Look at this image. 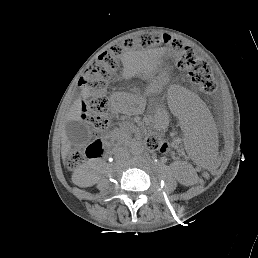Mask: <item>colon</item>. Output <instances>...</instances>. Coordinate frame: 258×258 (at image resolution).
<instances>
[{"label": "colon", "instance_id": "colon-1", "mask_svg": "<svg viewBox=\"0 0 258 258\" xmlns=\"http://www.w3.org/2000/svg\"><path fill=\"white\" fill-rule=\"evenodd\" d=\"M159 44L167 46L173 53L178 55L181 67L189 70L191 79L201 85L205 93H211L214 90L215 85L211 68L206 61L196 59L192 50L184 47L181 42L169 35L145 33L134 39L126 40L122 45H115L108 51L103 52L84 73L82 85L90 92V96L84 104V113L86 120L95 129H104L108 124L105 113L107 108L105 91L108 87L109 80L117 68L118 56L127 49H148ZM146 144L150 149L160 152H166L169 148L167 142L155 132L148 134ZM97 146H100L101 149V145ZM83 157L82 151L73 150L68 158V167L70 169L76 168L83 161Z\"/></svg>", "mask_w": 258, "mask_h": 258}]
</instances>
